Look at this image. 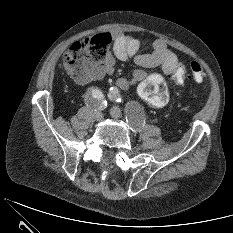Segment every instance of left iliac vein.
<instances>
[{
    "instance_id": "1",
    "label": "left iliac vein",
    "mask_w": 233,
    "mask_h": 233,
    "mask_svg": "<svg viewBox=\"0 0 233 233\" xmlns=\"http://www.w3.org/2000/svg\"><path fill=\"white\" fill-rule=\"evenodd\" d=\"M110 115L115 119H119L122 117V111L118 107H112ZM129 124L134 132L138 131V124L133 119L129 120Z\"/></svg>"
}]
</instances>
